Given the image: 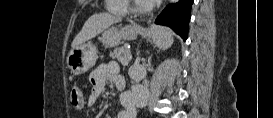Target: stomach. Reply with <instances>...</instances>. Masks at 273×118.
<instances>
[{
  "label": "stomach",
  "instance_id": "obj_1",
  "mask_svg": "<svg viewBox=\"0 0 273 118\" xmlns=\"http://www.w3.org/2000/svg\"><path fill=\"white\" fill-rule=\"evenodd\" d=\"M143 33L137 25H127L123 28H106L99 39L108 47H115L120 44L122 40H135L139 34ZM97 48L92 42L80 44L73 48L66 59L67 66L75 75L86 73L96 63Z\"/></svg>",
  "mask_w": 273,
  "mask_h": 118
}]
</instances>
